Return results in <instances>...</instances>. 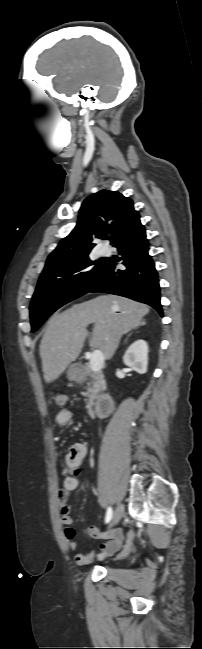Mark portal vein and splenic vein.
Returning a JSON list of instances; mask_svg holds the SVG:
<instances>
[{
    "mask_svg": "<svg viewBox=\"0 0 202 649\" xmlns=\"http://www.w3.org/2000/svg\"><path fill=\"white\" fill-rule=\"evenodd\" d=\"M104 364V356L100 350H95L90 359V368L93 372H98L102 369Z\"/></svg>",
    "mask_w": 202,
    "mask_h": 649,
    "instance_id": "obj_1",
    "label": "portal vein and splenic vein"
}]
</instances>
